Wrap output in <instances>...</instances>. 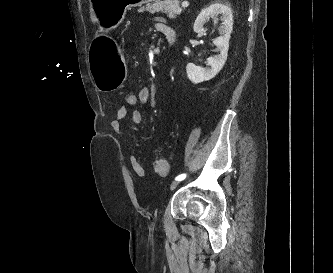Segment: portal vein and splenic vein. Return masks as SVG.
I'll list each match as a JSON object with an SVG mask.
<instances>
[{
    "instance_id": "obj_1",
    "label": "portal vein and splenic vein",
    "mask_w": 333,
    "mask_h": 273,
    "mask_svg": "<svg viewBox=\"0 0 333 273\" xmlns=\"http://www.w3.org/2000/svg\"><path fill=\"white\" fill-rule=\"evenodd\" d=\"M182 7H188V5H189V2L188 1H184V2H182Z\"/></svg>"
}]
</instances>
